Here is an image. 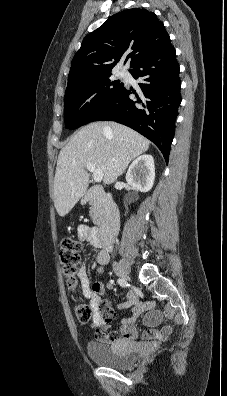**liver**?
<instances>
[{
    "label": "liver",
    "instance_id": "obj_1",
    "mask_svg": "<svg viewBox=\"0 0 227 396\" xmlns=\"http://www.w3.org/2000/svg\"><path fill=\"white\" fill-rule=\"evenodd\" d=\"M149 140L115 122H94L76 132L59 153L54 179V205L59 216L68 214L89 185L87 163L103 174V183L112 184L128 164L146 152Z\"/></svg>",
    "mask_w": 227,
    "mask_h": 396
}]
</instances>
